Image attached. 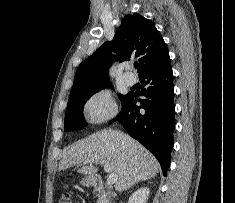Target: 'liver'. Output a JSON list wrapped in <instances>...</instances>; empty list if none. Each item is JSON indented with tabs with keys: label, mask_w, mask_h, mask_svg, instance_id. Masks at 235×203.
Masks as SVG:
<instances>
[{
	"label": "liver",
	"mask_w": 235,
	"mask_h": 203,
	"mask_svg": "<svg viewBox=\"0 0 235 203\" xmlns=\"http://www.w3.org/2000/svg\"><path fill=\"white\" fill-rule=\"evenodd\" d=\"M88 160L90 162H88ZM88 163L79 173L94 176L95 165H109L117 175L115 190L123 191L133 184L153 178L160 166L156 158L129 135L115 130L95 132L68 147L59 163V170Z\"/></svg>",
	"instance_id": "1"
}]
</instances>
